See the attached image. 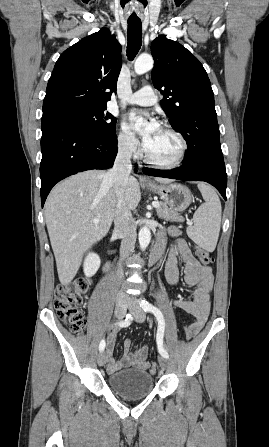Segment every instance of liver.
<instances>
[{
    "label": "liver",
    "instance_id": "1",
    "mask_svg": "<svg viewBox=\"0 0 269 447\" xmlns=\"http://www.w3.org/2000/svg\"><path fill=\"white\" fill-rule=\"evenodd\" d=\"M106 172L89 170L57 184L45 204L47 229L62 285L75 277L87 247L108 233L115 216L116 198ZM159 184L173 180L155 178ZM124 200L136 210L141 192L136 178H128ZM93 220H99L94 224Z\"/></svg>",
    "mask_w": 269,
    "mask_h": 447
}]
</instances>
